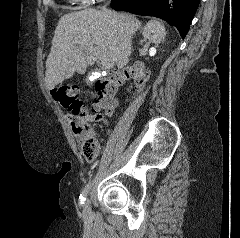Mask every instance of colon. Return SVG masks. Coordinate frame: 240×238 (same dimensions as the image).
I'll return each instance as SVG.
<instances>
[{"mask_svg": "<svg viewBox=\"0 0 240 238\" xmlns=\"http://www.w3.org/2000/svg\"><path fill=\"white\" fill-rule=\"evenodd\" d=\"M148 70L135 64L123 72L111 73L106 79L96 84V99L93 111L107 110L115 104V96L118 88L125 80L131 79L136 87H141L147 81ZM55 101L71 112V126L75 136L79 140L80 150L83 157L92 161L98 154V145L92 129L81 118L87 114L84 101L80 98L79 87L74 84H62L51 90Z\"/></svg>", "mask_w": 240, "mask_h": 238, "instance_id": "5ec220e1", "label": "colon"}]
</instances>
